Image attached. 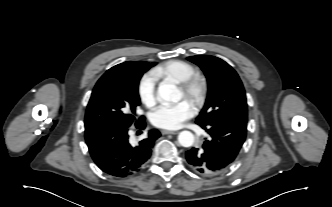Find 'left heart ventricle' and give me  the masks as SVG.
Instances as JSON below:
<instances>
[{"mask_svg":"<svg viewBox=\"0 0 332 207\" xmlns=\"http://www.w3.org/2000/svg\"><path fill=\"white\" fill-rule=\"evenodd\" d=\"M180 95L182 96V92L180 91Z\"/></svg>","mask_w":332,"mask_h":207,"instance_id":"1","label":"left heart ventricle"}]
</instances>
